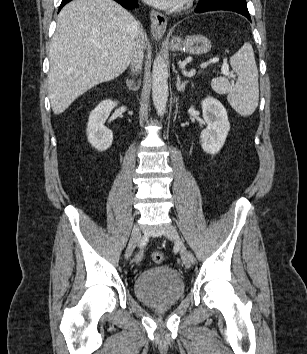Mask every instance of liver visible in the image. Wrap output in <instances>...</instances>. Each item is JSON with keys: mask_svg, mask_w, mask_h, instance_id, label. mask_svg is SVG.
Returning <instances> with one entry per match:
<instances>
[{"mask_svg": "<svg viewBox=\"0 0 307 354\" xmlns=\"http://www.w3.org/2000/svg\"><path fill=\"white\" fill-rule=\"evenodd\" d=\"M141 30L134 16L113 0H73L65 5L49 51L53 113H63L92 87L122 74Z\"/></svg>", "mask_w": 307, "mask_h": 354, "instance_id": "1", "label": "liver"}]
</instances>
